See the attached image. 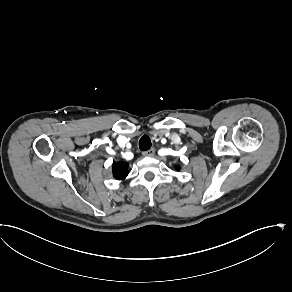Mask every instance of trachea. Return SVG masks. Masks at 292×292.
Instances as JSON below:
<instances>
[{"label":"trachea","instance_id":"obj_1","mask_svg":"<svg viewBox=\"0 0 292 292\" xmlns=\"http://www.w3.org/2000/svg\"><path fill=\"white\" fill-rule=\"evenodd\" d=\"M152 142L149 136L143 135L139 140V148L141 151H147L151 148Z\"/></svg>","mask_w":292,"mask_h":292}]
</instances>
